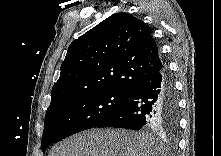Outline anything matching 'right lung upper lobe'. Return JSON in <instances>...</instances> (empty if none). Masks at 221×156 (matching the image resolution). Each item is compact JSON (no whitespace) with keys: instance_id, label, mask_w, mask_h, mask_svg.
<instances>
[{"instance_id":"obj_1","label":"right lung upper lobe","mask_w":221,"mask_h":156,"mask_svg":"<svg viewBox=\"0 0 221 156\" xmlns=\"http://www.w3.org/2000/svg\"><path fill=\"white\" fill-rule=\"evenodd\" d=\"M164 67L147 25L131 14L115 13L70 44L50 106L99 91L129 93Z\"/></svg>"}]
</instances>
